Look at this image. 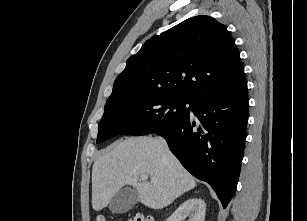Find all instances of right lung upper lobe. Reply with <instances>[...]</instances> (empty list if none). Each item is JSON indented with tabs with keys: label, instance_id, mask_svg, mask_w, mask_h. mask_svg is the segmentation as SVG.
<instances>
[{
	"label": "right lung upper lobe",
	"instance_id": "1",
	"mask_svg": "<svg viewBox=\"0 0 307 221\" xmlns=\"http://www.w3.org/2000/svg\"><path fill=\"white\" fill-rule=\"evenodd\" d=\"M245 85L239 51L229 31L212 17L196 16L147 40L127 60L106 104L146 93L194 102Z\"/></svg>",
	"mask_w": 307,
	"mask_h": 221
}]
</instances>
